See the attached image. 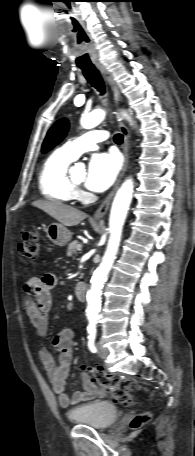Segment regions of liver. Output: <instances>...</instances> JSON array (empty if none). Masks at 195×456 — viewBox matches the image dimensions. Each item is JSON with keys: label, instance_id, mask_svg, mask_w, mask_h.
I'll return each mask as SVG.
<instances>
[{"label": "liver", "instance_id": "liver-1", "mask_svg": "<svg viewBox=\"0 0 195 456\" xmlns=\"http://www.w3.org/2000/svg\"><path fill=\"white\" fill-rule=\"evenodd\" d=\"M32 205L46 212L63 226H76L87 217L86 213L58 201L38 200Z\"/></svg>", "mask_w": 195, "mask_h": 456}]
</instances>
